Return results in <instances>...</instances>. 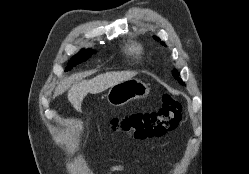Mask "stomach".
Returning a JSON list of instances; mask_svg holds the SVG:
<instances>
[{"mask_svg": "<svg viewBox=\"0 0 249 174\" xmlns=\"http://www.w3.org/2000/svg\"><path fill=\"white\" fill-rule=\"evenodd\" d=\"M149 91L148 85L141 80L129 79L113 85L107 94V100L113 106H123L133 99L146 97Z\"/></svg>", "mask_w": 249, "mask_h": 174, "instance_id": "0dacf381", "label": "stomach"}]
</instances>
